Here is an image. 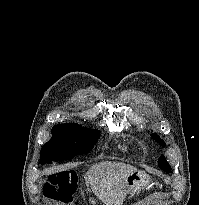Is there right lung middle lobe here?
Returning <instances> with one entry per match:
<instances>
[{
  "label": "right lung middle lobe",
  "instance_id": "dd1d6c3e",
  "mask_svg": "<svg viewBox=\"0 0 199 205\" xmlns=\"http://www.w3.org/2000/svg\"><path fill=\"white\" fill-rule=\"evenodd\" d=\"M51 133L52 138L41 149V165L89 153L100 135L99 130L87 129L78 124H58Z\"/></svg>",
  "mask_w": 199,
  "mask_h": 205
}]
</instances>
